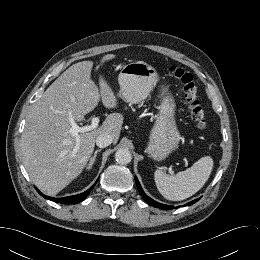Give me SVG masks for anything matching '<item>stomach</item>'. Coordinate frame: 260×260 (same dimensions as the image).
<instances>
[{"mask_svg": "<svg viewBox=\"0 0 260 260\" xmlns=\"http://www.w3.org/2000/svg\"><path fill=\"white\" fill-rule=\"evenodd\" d=\"M158 80L154 67L143 61L131 62L119 73L118 95L130 104L140 103L148 97ZM158 110L146 150L154 160L162 161L177 149L181 136L175 121L176 104L169 93L163 97Z\"/></svg>", "mask_w": 260, "mask_h": 260, "instance_id": "1", "label": "stomach"}]
</instances>
